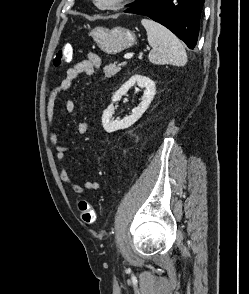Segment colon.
<instances>
[{"label": "colon", "mask_w": 249, "mask_h": 294, "mask_svg": "<svg viewBox=\"0 0 249 294\" xmlns=\"http://www.w3.org/2000/svg\"><path fill=\"white\" fill-rule=\"evenodd\" d=\"M72 46L66 44L61 46L54 57V66L61 67L70 63L72 59ZM81 220L88 225L96 221V212L92 205L87 200H81L78 205Z\"/></svg>", "instance_id": "obj_1"}]
</instances>
